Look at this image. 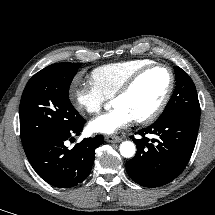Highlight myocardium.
Segmentation results:
<instances>
[{
	"label": "myocardium",
	"mask_w": 215,
	"mask_h": 215,
	"mask_svg": "<svg viewBox=\"0 0 215 215\" xmlns=\"http://www.w3.org/2000/svg\"><path fill=\"white\" fill-rule=\"evenodd\" d=\"M156 68H164L168 71L169 73V77H170V82H169V86L167 88L166 93L164 94L162 100L160 101V103L157 105V107L148 115L141 117V118H137L135 119V121L139 124H149L151 122H153L154 120H156L165 110L171 96L172 93L174 91L175 88V75L174 72L172 70V68L164 63H152L142 69H140L139 71H137L136 73H134L122 86L121 88L116 92V94L114 95V100L124 96L126 94H128L133 87L137 84V82L145 75L147 74L149 71L156 69Z\"/></svg>",
	"instance_id": "f54148a6"
}]
</instances>
